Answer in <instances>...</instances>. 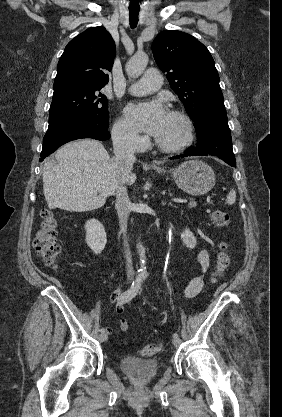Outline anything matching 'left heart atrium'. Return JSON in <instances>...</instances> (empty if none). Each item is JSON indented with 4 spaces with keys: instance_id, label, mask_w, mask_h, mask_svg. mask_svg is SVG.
I'll return each instance as SVG.
<instances>
[{
    "instance_id": "39dd6f15",
    "label": "left heart atrium",
    "mask_w": 282,
    "mask_h": 417,
    "mask_svg": "<svg viewBox=\"0 0 282 417\" xmlns=\"http://www.w3.org/2000/svg\"><path fill=\"white\" fill-rule=\"evenodd\" d=\"M126 119L134 129L157 135L163 126L165 113L158 103L130 105Z\"/></svg>"
}]
</instances>
